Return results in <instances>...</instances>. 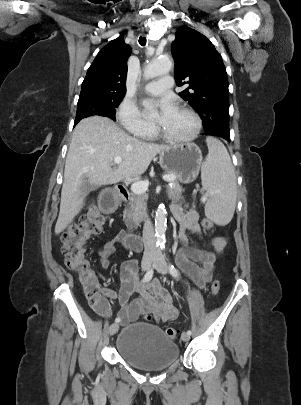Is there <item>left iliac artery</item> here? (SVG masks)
I'll list each match as a JSON object with an SVG mask.
<instances>
[{"mask_svg":"<svg viewBox=\"0 0 301 405\" xmlns=\"http://www.w3.org/2000/svg\"><path fill=\"white\" fill-rule=\"evenodd\" d=\"M169 271H170V274H171L174 278H178L179 272H178V270L175 268L174 265L169 264ZM187 333H188L189 335H191V331H190V330H188Z\"/></svg>","mask_w":301,"mask_h":405,"instance_id":"obj_1","label":"left iliac artery"}]
</instances>
